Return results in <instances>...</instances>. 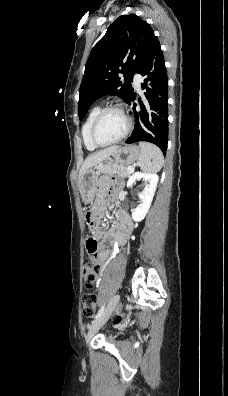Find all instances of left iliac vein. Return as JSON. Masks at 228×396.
Listing matches in <instances>:
<instances>
[{
	"label": "left iliac vein",
	"instance_id": "left-iliac-vein-1",
	"mask_svg": "<svg viewBox=\"0 0 228 396\" xmlns=\"http://www.w3.org/2000/svg\"><path fill=\"white\" fill-rule=\"evenodd\" d=\"M120 295L116 294L109 302L107 308L103 314L97 318L89 327V330L85 336V342L88 344L93 336L98 332V330L107 322L115 308L119 303Z\"/></svg>",
	"mask_w": 228,
	"mask_h": 396
}]
</instances>
